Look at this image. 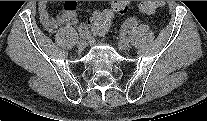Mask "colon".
Returning a JSON list of instances; mask_svg holds the SVG:
<instances>
[{
  "instance_id": "colon-1",
  "label": "colon",
  "mask_w": 207,
  "mask_h": 121,
  "mask_svg": "<svg viewBox=\"0 0 207 121\" xmlns=\"http://www.w3.org/2000/svg\"><path fill=\"white\" fill-rule=\"evenodd\" d=\"M162 1H143L139 3L138 9L143 14H153L157 9L163 6ZM128 6L124 1H115L112 10L96 11L89 19V25L99 37L104 36L110 27L113 13L122 15L127 12Z\"/></svg>"
}]
</instances>
